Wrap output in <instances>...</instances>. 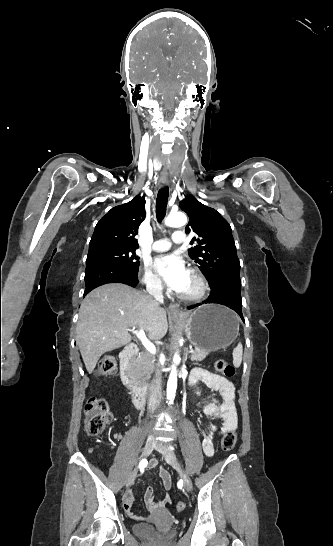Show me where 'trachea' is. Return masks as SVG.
<instances>
[{
    "instance_id": "3493384b",
    "label": "trachea",
    "mask_w": 333,
    "mask_h": 546,
    "mask_svg": "<svg viewBox=\"0 0 333 546\" xmlns=\"http://www.w3.org/2000/svg\"><path fill=\"white\" fill-rule=\"evenodd\" d=\"M169 189L168 187L161 188L157 195L156 200V218L161 223L166 215V207L168 201Z\"/></svg>"
}]
</instances>
